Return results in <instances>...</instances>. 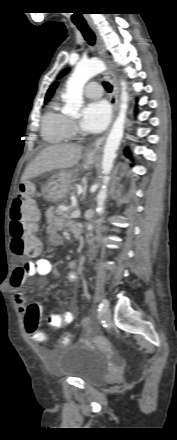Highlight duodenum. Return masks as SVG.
Segmentation results:
<instances>
[{
  "label": "duodenum",
  "instance_id": "duodenum-1",
  "mask_svg": "<svg viewBox=\"0 0 177 440\" xmlns=\"http://www.w3.org/2000/svg\"><path fill=\"white\" fill-rule=\"evenodd\" d=\"M71 229H72V234H73L74 238L79 240L83 234L82 227L79 225H74V226H72Z\"/></svg>",
  "mask_w": 177,
  "mask_h": 440
}]
</instances>
